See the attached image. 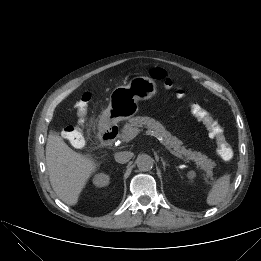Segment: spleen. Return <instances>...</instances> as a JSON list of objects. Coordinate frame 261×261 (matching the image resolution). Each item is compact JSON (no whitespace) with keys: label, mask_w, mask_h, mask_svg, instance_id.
I'll use <instances>...</instances> for the list:
<instances>
[{"label":"spleen","mask_w":261,"mask_h":261,"mask_svg":"<svg viewBox=\"0 0 261 261\" xmlns=\"http://www.w3.org/2000/svg\"><path fill=\"white\" fill-rule=\"evenodd\" d=\"M230 178V174H225L213 183L206 199L208 205H218L225 200L229 193Z\"/></svg>","instance_id":"spleen-1"}]
</instances>
